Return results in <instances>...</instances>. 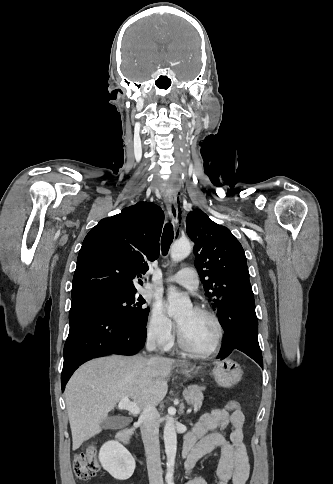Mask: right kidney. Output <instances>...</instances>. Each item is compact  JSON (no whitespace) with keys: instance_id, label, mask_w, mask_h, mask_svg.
<instances>
[{"instance_id":"obj_1","label":"right kidney","mask_w":333,"mask_h":484,"mask_svg":"<svg viewBox=\"0 0 333 484\" xmlns=\"http://www.w3.org/2000/svg\"><path fill=\"white\" fill-rule=\"evenodd\" d=\"M102 467L115 479L127 480L135 470V459L119 442L104 443L99 452Z\"/></svg>"}]
</instances>
